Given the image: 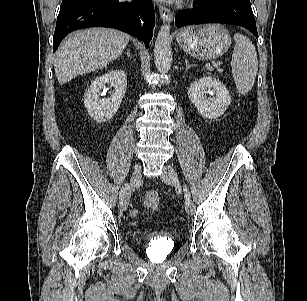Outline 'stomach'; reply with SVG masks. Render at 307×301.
Listing matches in <instances>:
<instances>
[{
    "mask_svg": "<svg viewBox=\"0 0 307 301\" xmlns=\"http://www.w3.org/2000/svg\"><path fill=\"white\" fill-rule=\"evenodd\" d=\"M176 40L183 51L201 60L222 56L231 44L228 30L220 24L185 27Z\"/></svg>",
    "mask_w": 307,
    "mask_h": 301,
    "instance_id": "0dacf381",
    "label": "stomach"
}]
</instances>
